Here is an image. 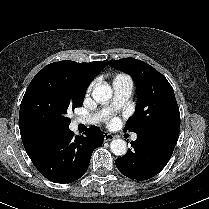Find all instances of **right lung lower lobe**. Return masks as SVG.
<instances>
[{"instance_id":"obj_1","label":"right lung lower lobe","mask_w":209,"mask_h":209,"mask_svg":"<svg viewBox=\"0 0 209 209\" xmlns=\"http://www.w3.org/2000/svg\"><path fill=\"white\" fill-rule=\"evenodd\" d=\"M85 134L74 137L68 128L28 155L47 179L61 184L73 182L86 172L93 149L103 142L98 127H90Z\"/></svg>"}]
</instances>
